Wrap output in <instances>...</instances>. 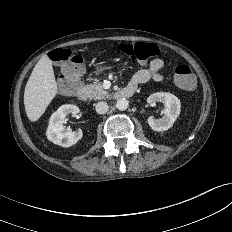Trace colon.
Wrapping results in <instances>:
<instances>
[{
  "label": "colon",
  "mask_w": 232,
  "mask_h": 232,
  "mask_svg": "<svg viewBox=\"0 0 232 232\" xmlns=\"http://www.w3.org/2000/svg\"><path fill=\"white\" fill-rule=\"evenodd\" d=\"M119 50L142 63L160 54V49L157 45L145 42L123 43L119 45ZM49 57L60 65V90L64 93L76 91L80 85V76L83 70L82 59L79 56H74L69 49L63 48L52 50L49 53ZM174 81L179 88L184 90H192L196 86V77L187 65L176 67Z\"/></svg>",
  "instance_id": "1"
}]
</instances>
